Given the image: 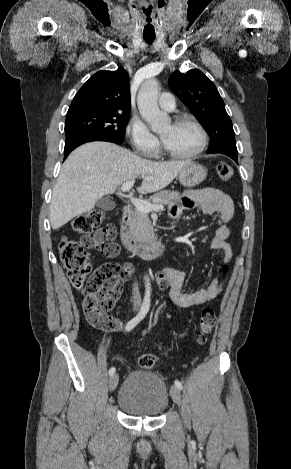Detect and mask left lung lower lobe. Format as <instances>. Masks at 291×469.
<instances>
[{
    "label": "left lung lower lobe",
    "mask_w": 291,
    "mask_h": 469,
    "mask_svg": "<svg viewBox=\"0 0 291 469\" xmlns=\"http://www.w3.org/2000/svg\"><path fill=\"white\" fill-rule=\"evenodd\" d=\"M207 153H222L231 157L238 164V152L234 150H219L216 152H207Z\"/></svg>",
    "instance_id": "1"
}]
</instances>
